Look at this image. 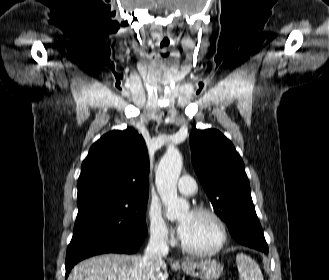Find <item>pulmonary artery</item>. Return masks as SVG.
<instances>
[{
  "label": "pulmonary artery",
  "instance_id": "e3ab8cb5",
  "mask_svg": "<svg viewBox=\"0 0 329 280\" xmlns=\"http://www.w3.org/2000/svg\"><path fill=\"white\" fill-rule=\"evenodd\" d=\"M177 186L180 193L184 195H192L196 192V183L190 176H182Z\"/></svg>",
  "mask_w": 329,
  "mask_h": 280
}]
</instances>
